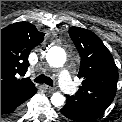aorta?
I'll return each mask as SVG.
<instances>
[{"mask_svg":"<svg viewBox=\"0 0 122 122\" xmlns=\"http://www.w3.org/2000/svg\"><path fill=\"white\" fill-rule=\"evenodd\" d=\"M47 62L50 66L52 67H61L65 64L66 62V53L62 48L59 47H54L49 50L47 54ZM65 102V97L60 94L59 92L53 93L51 96V103L55 107H60L64 104Z\"/></svg>","mask_w":122,"mask_h":122,"instance_id":"aorta-1","label":"aorta"}]
</instances>
